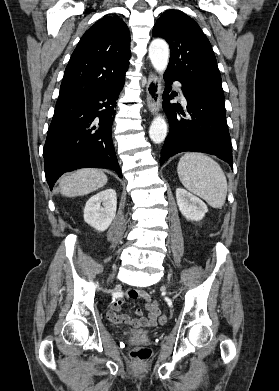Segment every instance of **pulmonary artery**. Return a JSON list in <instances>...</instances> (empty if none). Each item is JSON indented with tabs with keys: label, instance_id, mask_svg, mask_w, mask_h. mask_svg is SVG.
I'll list each match as a JSON object with an SVG mask.
<instances>
[{
	"label": "pulmonary artery",
	"instance_id": "1",
	"mask_svg": "<svg viewBox=\"0 0 279 391\" xmlns=\"http://www.w3.org/2000/svg\"><path fill=\"white\" fill-rule=\"evenodd\" d=\"M175 86L177 87V89H178V90L180 91V93H181L183 103H186V100H185L184 96L182 95L181 85H180L178 82H176V83H175Z\"/></svg>",
	"mask_w": 279,
	"mask_h": 391
}]
</instances>
